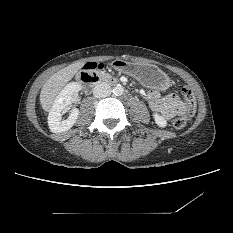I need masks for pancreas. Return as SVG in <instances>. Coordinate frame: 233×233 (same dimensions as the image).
Returning a JSON list of instances; mask_svg holds the SVG:
<instances>
[{
  "label": "pancreas",
  "mask_w": 233,
  "mask_h": 233,
  "mask_svg": "<svg viewBox=\"0 0 233 233\" xmlns=\"http://www.w3.org/2000/svg\"><path fill=\"white\" fill-rule=\"evenodd\" d=\"M100 77L103 80H109L111 78V76L108 73H101Z\"/></svg>",
  "instance_id": "cf45deb5"
}]
</instances>
